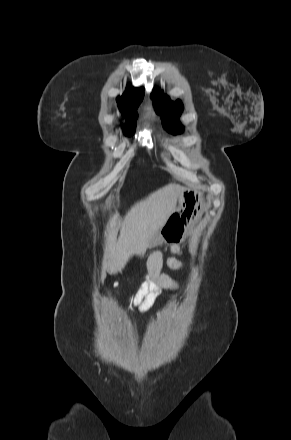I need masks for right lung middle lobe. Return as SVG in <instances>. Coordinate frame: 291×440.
<instances>
[{"mask_svg":"<svg viewBox=\"0 0 291 440\" xmlns=\"http://www.w3.org/2000/svg\"><path fill=\"white\" fill-rule=\"evenodd\" d=\"M122 114L124 116H126V123H125L124 131L127 135H132L135 130V121L137 119V113L134 111L131 113H122Z\"/></svg>","mask_w":291,"mask_h":440,"instance_id":"obj_1","label":"right lung middle lobe"}]
</instances>
